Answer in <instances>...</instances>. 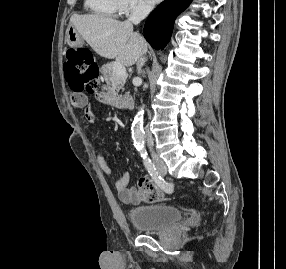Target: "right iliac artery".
<instances>
[{"label": "right iliac artery", "mask_w": 286, "mask_h": 269, "mask_svg": "<svg viewBox=\"0 0 286 269\" xmlns=\"http://www.w3.org/2000/svg\"><path fill=\"white\" fill-rule=\"evenodd\" d=\"M144 165H145L146 169L148 170L149 174L151 175L152 179L156 182V184L158 186H160L161 188L168 187V184L158 174L154 163L149 158L144 157Z\"/></svg>", "instance_id": "82829eb1"}]
</instances>
